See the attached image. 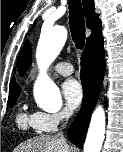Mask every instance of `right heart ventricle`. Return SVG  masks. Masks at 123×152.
<instances>
[{
    "instance_id": "e07e8e85",
    "label": "right heart ventricle",
    "mask_w": 123,
    "mask_h": 152,
    "mask_svg": "<svg viewBox=\"0 0 123 152\" xmlns=\"http://www.w3.org/2000/svg\"><path fill=\"white\" fill-rule=\"evenodd\" d=\"M35 113H28L25 108H21L16 115V123L23 130H38L35 125Z\"/></svg>"
}]
</instances>
